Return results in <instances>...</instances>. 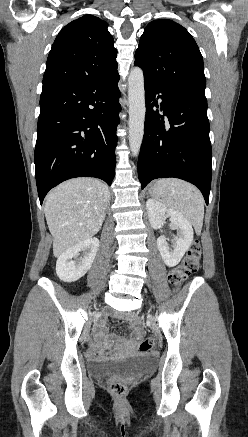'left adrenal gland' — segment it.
Listing matches in <instances>:
<instances>
[{
    "label": "left adrenal gland",
    "mask_w": 248,
    "mask_h": 437,
    "mask_svg": "<svg viewBox=\"0 0 248 437\" xmlns=\"http://www.w3.org/2000/svg\"><path fill=\"white\" fill-rule=\"evenodd\" d=\"M148 193L151 194V190H149Z\"/></svg>",
    "instance_id": "obj_1"
}]
</instances>
